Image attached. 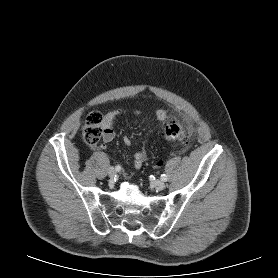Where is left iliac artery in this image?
<instances>
[{
  "label": "left iliac artery",
  "instance_id": "obj_1",
  "mask_svg": "<svg viewBox=\"0 0 278 278\" xmlns=\"http://www.w3.org/2000/svg\"><path fill=\"white\" fill-rule=\"evenodd\" d=\"M167 179H168V178H167L166 174H162V175H161V180H162V181H167Z\"/></svg>",
  "mask_w": 278,
  "mask_h": 278
}]
</instances>
